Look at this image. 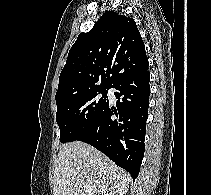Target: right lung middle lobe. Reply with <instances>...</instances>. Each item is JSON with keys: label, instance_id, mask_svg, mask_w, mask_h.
Returning a JSON list of instances; mask_svg holds the SVG:
<instances>
[{"label": "right lung middle lobe", "instance_id": "obj_1", "mask_svg": "<svg viewBox=\"0 0 211 195\" xmlns=\"http://www.w3.org/2000/svg\"><path fill=\"white\" fill-rule=\"evenodd\" d=\"M107 92L106 88L89 91L57 105L61 143L77 140L101 116L109 105Z\"/></svg>", "mask_w": 211, "mask_h": 195}]
</instances>
